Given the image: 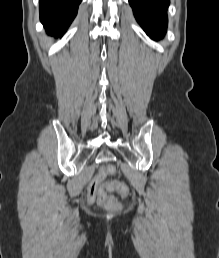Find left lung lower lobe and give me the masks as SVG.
Segmentation results:
<instances>
[{
	"instance_id": "left-lung-lower-lobe-1",
	"label": "left lung lower lobe",
	"mask_w": 219,
	"mask_h": 258,
	"mask_svg": "<svg viewBox=\"0 0 219 258\" xmlns=\"http://www.w3.org/2000/svg\"><path fill=\"white\" fill-rule=\"evenodd\" d=\"M134 15L152 39H161L167 28V8L170 0H129Z\"/></svg>"
}]
</instances>
